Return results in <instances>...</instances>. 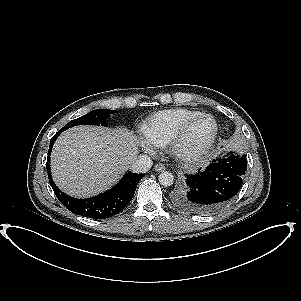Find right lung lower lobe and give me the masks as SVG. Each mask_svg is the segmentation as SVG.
<instances>
[{"label":"right lung lower lobe","instance_id":"right-lung-lower-lobe-1","mask_svg":"<svg viewBox=\"0 0 301 301\" xmlns=\"http://www.w3.org/2000/svg\"><path fill=\"white\" fill-rule=\"evenodd\" d=\"M62 131L63 130L61 129L52 137L46 163L48 178L57 198L71 212L84 217L104 219L119 213L131 201L137 184L145 176V174H134L131 172L126 173L119 183H117L113 188L92 198L76 199L64 194L54 184L50 173L51 150L55 140Z\"/></svg>","mask_w":301,"mask_h":301}]
</instances>
